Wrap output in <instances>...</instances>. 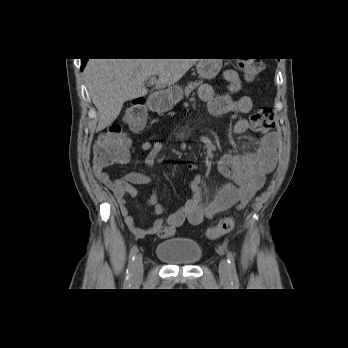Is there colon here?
I'll return each instance as SVG.
<instances>
[{
	"label": "colon",
	"mask_w": 348,
	"mask_h": 348,
	"mask_svg": "<svg viewBox=\"0 0 348 348\" xmlns=\"http://www.w3.org/2000/svg\"><path fill=\"white\" fill-rule=\"evenodd\" d=\"M239 69L247 79L257 77L263 70V63L258 58L239 60ZM127 125L136 132L144 129L147 122L145 101L137 98L124 115ZM250 126L257 132H269L274 129V116L270 109H260L249 118ZM131 150V139L123 132L120 124H112L97 139L94 146V162L97 166L105 167L124 160ZM235 226V218L227 216L207 231L209 239H217L230 233ZM174 227L166 226L160 231L162 236H170L174 233Z\"/></svg>",
	"instance_id": "5ec220e1"
}]
</instances>
